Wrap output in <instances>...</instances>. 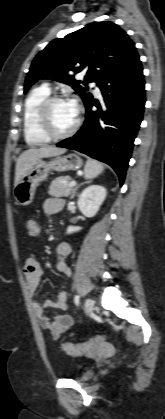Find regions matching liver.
<instances>
[{
  "instance_id": "liver-1",
  "label": "liver",
  "mask_w": 165,
  "mask_h": 419,
  "mask_svg": "<svg viewBox=\"0 0 165 419\" xmlns=\"http://www.w3.org/2000/svg\"><path fill=\"white\" fill-rule=\"evenodd\" d=\"M65 148L43 145L40 148H29L24 151L17 159L15 172V185L23 178V176L32 168V166L42 158H48L64 154Z\"/></svg>"
}]
</instances>
